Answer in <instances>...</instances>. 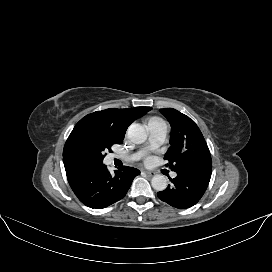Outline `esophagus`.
Listing matches in <instances>:
<instances>
[{"mask_svg":"<svg viewBox=\"0 0 272 272\" xmlns=\"http://www.w3.org/2000/svg\"><path fill=\"white\" fill-rule=\"evenodd\" d=\"M145 175L148 176V177H153L155 175L154 172H151V171H144Z\"/></svg>","mask_w":272,"mask_h":272,"instance_id":"1","label":"esophagus"}]
</instances>
